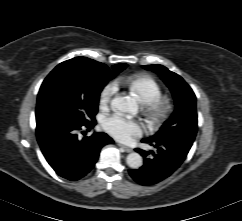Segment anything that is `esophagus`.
<instances>
[{
	"instance_id": "1",
	"label": "esophagus",
	"mask_w": 242,
	"mask_h": 221,
	"mask_svg": "<svg viewBox=\"0 0 242 221\" xmlns=\"http://www.w3.org/2000/svg\"><path fill=\"white\" fill-rule=\"evenodd\" d=\"M118 146L119 147H121L125 152H127V153H130V152H132L133 151V149L132 148H130V147H127V146H125V145H122V144H118Z\"/></svg>"
}]
</instances>
